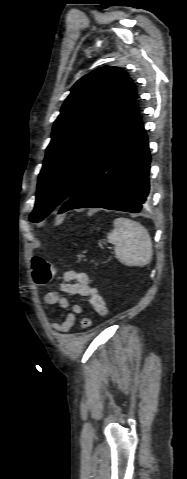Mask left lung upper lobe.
I'll return each mask as SVG.
<instances>
[{
    "label": "left lung upper lobe",
    "instance_id": "1",
    "mask_svg": "<svg viewBox=\"0 0 187 479\" xmlns=\"http://www.w3.org/2000/svg\"><path fill=\"white\" fill-rule=\"evenodd\" d=\"M136 99L132 79L119 67L96 69L74 84L53 126L31 222H40L72 195L113 145Z\"/></svg>",
    "mask_w": 187,
    "mask_h": 479
}]
</instances>
